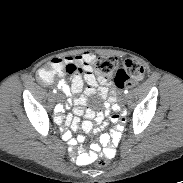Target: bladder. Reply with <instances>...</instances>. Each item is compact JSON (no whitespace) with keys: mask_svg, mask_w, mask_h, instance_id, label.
Instances as JSON below:
<instances>
[{"mask_svg":"<svg viewBox=\"0 0 183 183\" xmlns=\"http://www.w3.org/2000/svg\"><path fill=\"white\" fill-rule=\"evenodd\" d=\"M101 103V98L100 97H95L91 100L92 105H99Z\"/></svg>","mask_w":183,"mask_h":183,"instance_id":"bladder-1","label":"bladder"}]
</instances>
